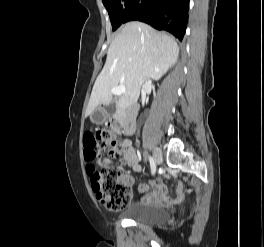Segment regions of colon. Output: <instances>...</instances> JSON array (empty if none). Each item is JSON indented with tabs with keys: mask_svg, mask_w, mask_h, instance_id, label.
Wrapping results in <instances>:
<instances>
[{
	"mask_svg": "<svg viewBox=\"0 0 264 247\" xmlns=\"http://www.w3.org/2000/svg\"><path fill=\"white\" fill-rule=\"evenodd\" d=\"M120 132L119 125L111 122L106 128L84 137V155L90 164L87 167L91 187L97 199L109 211L123 210L131 202V189L123 173L116 168L106 167L100 162V151L113 157L119 156L116 135ZM97 142L101 143L100 148ZM93 162H97L98 166Z\"/></svg>",
	"mask_w": 264,
	"mask_h": 247,
	"instance_id": "1",
	"label": "colon"
}]
</instances>
